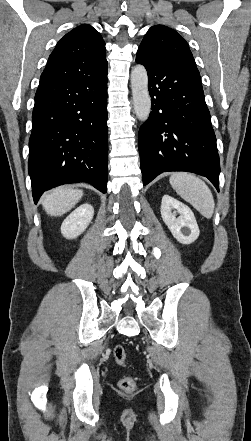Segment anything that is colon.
Returning <instances> with one entry per match:
<instances>
[{
	"label": "colon",
	"mask_w": 251,
	"mask_h": 441,
	"mask_svg": "<svg viewBox=\"0 0 251 441\" xmlns=\"http://www.w3.org/2000/svg\"><path fill=\"white\" fill-rule=\"evenodd\" d=\"M113 357L117 364L121 366H125L127 362V355L126 352L121 345H116L113 348ZM120 389L126 392H131L136 387V381L135 378L131 375L123 376L118 383Z\"/></svg>",
	"instance_id": "5ec220e1"
}]
</instances>
